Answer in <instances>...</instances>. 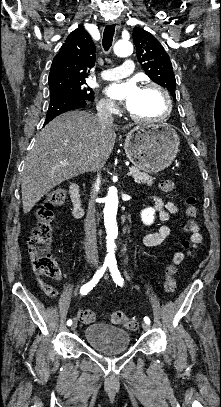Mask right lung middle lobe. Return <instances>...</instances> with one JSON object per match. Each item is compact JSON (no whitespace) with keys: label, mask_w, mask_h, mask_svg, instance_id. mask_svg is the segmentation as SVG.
Listing matches in <instances>:
<instances>
[{"label":"right lung middle lobe","mask_w":221,"mask_h":407,"mask_svg":"<svg viewBox=\"0 0 221 407\" xmlns=\"http://www.w3.org/2000/svg\"><path fill=\"white\" fill-rule=\"evenodd\" d=\"M51 101L65 98L75 97L94 101V92L86 86V82L70 84L61 88L50 90Z\"/></svg>","instance_id":"right-lung-middle-lobe-1"}]
</instances>
